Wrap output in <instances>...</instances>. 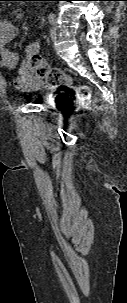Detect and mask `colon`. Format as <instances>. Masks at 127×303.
I'll use <instances>...</instances> for the list:
<instances>
[{
    "label": "colon",
    "mask_w": 127,
    "mask_h": 303,
    "mask_svg": "<svg viewBox=\"0 0 127 303\" xmlns=\"http://www.w3.org/2000/svg\"><path fill=\"white\" fill-rule=\"evenodd\" d=\"M30 63L36 74L44 79L47 86L52 88L69 87L71 79L60 68L50 66L46 60L37 52L30 54ZM74 98H80L84 101H91V90L88 86L78 87L74 95L62 94V99L72 103Z\"/></svg>",
    "instance_id": "1"
}]
</instances>
